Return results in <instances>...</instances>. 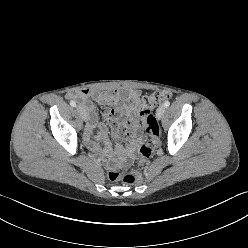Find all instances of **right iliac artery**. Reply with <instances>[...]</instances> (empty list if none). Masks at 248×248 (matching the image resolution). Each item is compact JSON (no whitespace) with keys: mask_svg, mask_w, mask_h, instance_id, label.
<instances>
[{"mask_svg":"<svg viewBox=\"0 0 248 248\" xmlns=\"http://www.w3.org/2000/svg\"><path fill=\"white\" fill-rule=\"evenodd\" d=\"M70 105L72 106V107H75L76 106V102L75 101H70Z\"/></svg>","mask_w":248,"mask_h":248,"instance_id":"right-iliac-artery-1","label":"right iliac artery"}]
</instances>
